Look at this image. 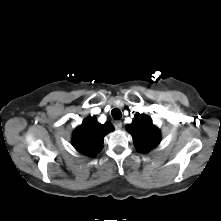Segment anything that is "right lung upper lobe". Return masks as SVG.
Returning <instances> with one entry per match:
<instances>
[{
	"label": "right lung upper lobe",
	"instance_id": "1",
	"mask_svg": "<svg viewBox=\"0 0 221 221\" xmlns=\"http://www.w3.org/2000/svg\"><path fill=\"white\" fill-rule=\"evenodd\" d=\"M113 129L114 127L110 122L100 124L97 123L95 117H88L81 126L75 129L73 146L80 153L93 157L101 151L104 136Z\"/></svg>",
	"mask_w": 221,
	"mask_h": 221
}]
</instances>
